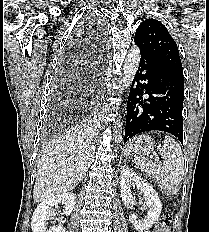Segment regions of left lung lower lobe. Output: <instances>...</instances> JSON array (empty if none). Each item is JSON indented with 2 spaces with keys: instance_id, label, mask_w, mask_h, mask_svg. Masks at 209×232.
I'll return each mask as SVG.
<instances>
[{
  "instance_id": "obj_1",
  "label": "left lung lower lobe",
  "mask_w": 209,
  "mask_h": 232,
  "mask_svg": "<svg viewBox=\"0 0 209 232\" xmlns=\"http://www.w3.org/2000/svg\"><path fill=\"white\" fill-rule=\"evenodd\" d=\"M183 74L162 68L141 52L127 103L124 143L146 131H164L183 144Z\"/></svg>"
}]
</instances>
